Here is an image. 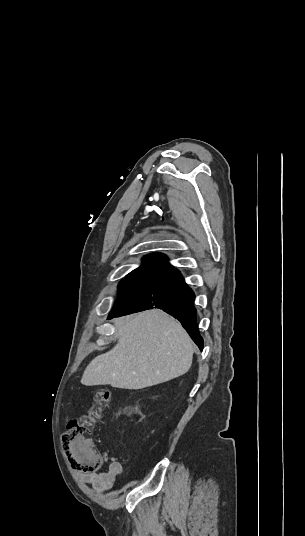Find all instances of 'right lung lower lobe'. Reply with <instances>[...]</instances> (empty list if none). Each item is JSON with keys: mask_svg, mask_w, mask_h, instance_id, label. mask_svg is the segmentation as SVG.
I'll return each instance as SVG.
<instances>
[{"mask_svg": "<svg viewBox=\"0 0 305 536\" xmlns=\"http://www.w3.org/2000/svg\"><path fill=\"white\" fill-rule=\"evenodd\" d=\"M194 298L193 291L186 285L181 274L178 273L165 278L123 311L109 314L108 319L156 307L177 318L202 350L203 339L200 336L196 322V309L193 305Z\"/></svg>", "mask_w": 305, "mask_h": 536, "instance_id": "1", "label": "right lung lower lobe"}]
</instances>
